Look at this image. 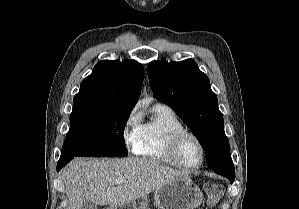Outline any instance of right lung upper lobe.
Wrapping results in <instances>:
<instances>
[{"label": "right lung upper lobe", "mask_w": 299, "mask_h": 209, "mask_svg": "<svg viewBox=\"0 0 299 209\" xmlns=\"http://www.w3.org/2000/svg\"><path fill=\"white\" fill-rule=\"evenodd\" d=\"M143 66L135 60H103L86 77L74 97L76 107H99L131 111L140 96Z\"/></svg>", "instance_id": "1"}]
</instances>
